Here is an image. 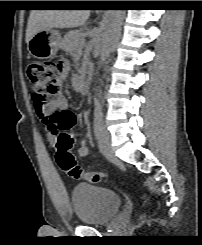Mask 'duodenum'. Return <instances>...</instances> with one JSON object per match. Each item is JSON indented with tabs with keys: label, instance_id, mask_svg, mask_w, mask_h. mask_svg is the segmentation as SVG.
Instances as JSON below:
<instances>
[{
	"label": "duodenum",
	"instance_id": "obj_1",
	"mask_svg": "<svg viewBox=\"0 0 202 245\" xmlns=\"http://www.w3.org/2000/svg\"><path fill=\"white\" fill-rule=\"evenodd\" d=\"M92 72H93V67L91 65H89L87 67V76L84 80V84H83V90H87L91 84V79H92Z\"/></svg>",
	"mask_w": 202,
	"mask_h": 245
}]
</instances>
